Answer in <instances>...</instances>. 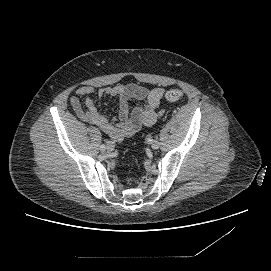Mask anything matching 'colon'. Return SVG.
Returning a JSON list of instances; mask_svg holds the SVG:
<instances>
[{"mask_svg":"<svg viewBox=\"0 0 271 271\" xmlns=\"http://www.w3.org/2000/svg\"><path fill=\"white\" fill-rule=\"evenodd\" d=\"M165 97L169 102H177L183 97V93L178 89H171L166 92Z\"/></svg>","mask_w":271,"mask_h":271,"instance_id":"1","label":"colon"}]
</instances>
